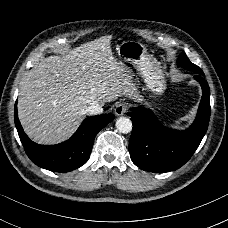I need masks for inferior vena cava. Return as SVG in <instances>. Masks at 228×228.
I'll list each match as a JSON object with an SVG mask.
<instances>
[{"mask_svg":"<svg viewBox=\"0 0 228 228\" xmlns=\"http://www.w3.org/2000/svg\"><path fill=\"white\" fill-rule=\"evenodd\" d=\"M85 114H102L103 108L99 103H93L86 109H84Z\"/></svg>","mask_w":228,"mask_h":228,"instance_id":"602c4592","label":"inferior vena cava"}]
</instances>
